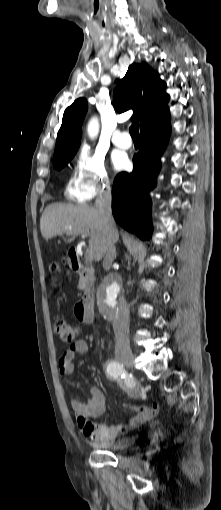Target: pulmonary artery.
<instances>
[{"label": "pulmonary artery", "instance_id": "e3ab8cb5", "mask_svg": "<svg viewBox=\"0 0 221 510\" xmlns=\"http://www.w3.org/2000/svg\"><path fill=\"white\" fill-rule=\"evenodd\" d=\"M113 143L120 148L128 149L131 147V139L128 132L122 129H116L112 137Z\"/></svg>", "mask_w": 221, "mask_h": 510}]
</instances>
